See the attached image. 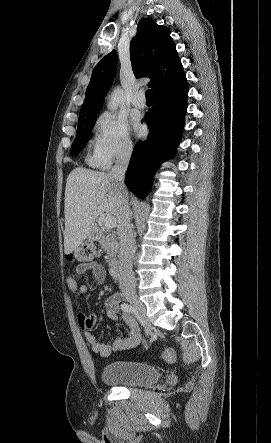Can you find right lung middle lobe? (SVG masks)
I'll use <instances>...</instances> for the list:
<instances>
[{
  "instance_id": "dd1d6c3e",
  "label": "right lung middle lobe",
  "mask_w": 271,
  "mask_h": 443,
  "mask_svg": "<svg viewBox=\"0 0 271 443\" xmlns=\"http://www.w3.org/2000/svg\"><path fill=\"white\" fill-rule=\"evenodd\" d=\"M97 116L82 118L78 120L76 138L71 147V155H77L86 145L90 131L96 122Z\"/></svg>"
}]
</instances>
